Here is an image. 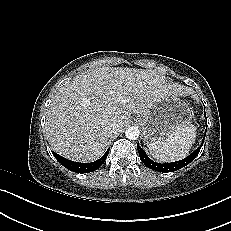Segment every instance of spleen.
<instances>
[{
    "instance_id": "3e777b00",
    "label": "spleen",
    "mask_w": 231,
    "mask_h": 231,
    "mask_svg": "<svg viewBox=\"0 0 231 231\" xmlns=\"http://www.w3.org/2000/svg\"><path fill=\"white\" fill-rule=\"evenodd\" d=\"M196 130L193 124L181 126L166 139L149 144L150 154L160 162H174L186 158L195 143Z\"/></svg>"
}]
</instances>
